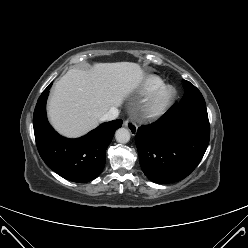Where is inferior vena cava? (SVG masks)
<instances>
[{"mask_svg": "<svg viewBox=\"0 0 248 248\" xmlns=\"http://www.w3.org/2000/svg\"><path fill=\"white\" fill-rule=\"evenodd\" d=\"M119 111L117 108H111L109 111H107L104 115L101 116V121H111L118 117Z\"/></svg>", "mask_w": 248, "mask_h": 248, "instance_id": "obj_1", "label": "inferior vena cava"}]
</instances>
